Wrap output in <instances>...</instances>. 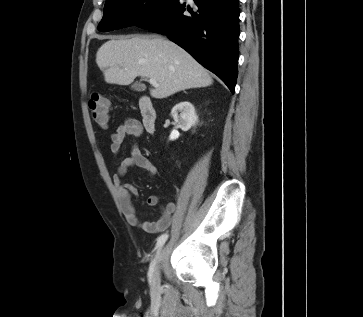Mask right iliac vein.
<instances>
[{
  "label": "right iliac vein",
  "mask_w": 363,
  "mask_h": 317,
  "mask_svg": "<svg viewBox=\"0 0 363 317\" xmlns=\"http://www.w3.org/2000/svg\"><path fill=\"white\" fill-rule=\"evenodd\" d=\"M164 256V248H161L156 255V258L154 260V266L153 271L151 275V288L153 290H157L160 284V268H161V262L163 260Z\"/></svg>",
  "instance_id": "right-iliac-vein-1"
}]
</instances>
